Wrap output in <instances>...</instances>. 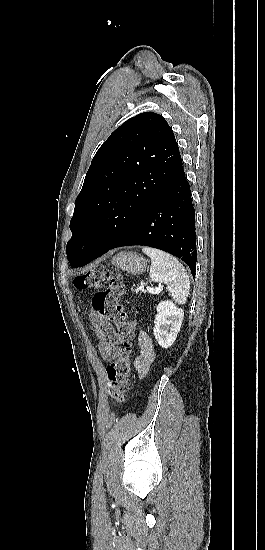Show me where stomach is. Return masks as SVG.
<instances>
[{"label": "stomach", "mask_w": 265, "mask_h": 550, "mask_svg": "<svg viewBox=\"0 0 265 550\" xmlns=\"http://www.w3.org/2000/svg\"><path fill=\"white\" fill-rule=\"evenodd\" d=\"M112 264L132 275H140L146 270V259L135 253L122 251L112 259Z\"/></svg>", "instance_id": "0dacf381"}]
</instances>
